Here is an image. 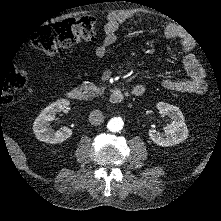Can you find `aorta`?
Wrapping results in <instances>:
<instances>
[{
    "instance_id": "1",
    "label": "aorta",
    "mask_w": 221,
    "mask_h": 221,
    "mask_svg": "<svg viewBox=\"0 0 221 221\" xmlns=\"http://www.w3.org/2000/svg\"><path fill=\"white\" fill-rule=\"evenodd\" d=\"M124 122L120 117L111 118L107 124V128L111 132H118L122 130Z\"/></svg>"
}]
</instances>
